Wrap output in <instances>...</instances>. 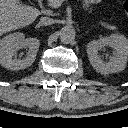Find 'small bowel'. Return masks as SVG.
Wrapping results in <instances>:
<instances>
[{"label": "small bowel", "instance_id": "1", "mask_svg": "<svg viewBox=\"0 0 128 128\" xmlns=\"http://www.w3.org/2000/svg\"><path fill=\"white\" fill-rule=\"evenodd\" d=\"M89 1L92 2V3H99V2H101L103 0H89Z\"/></svg>", "mask_w": 128, "mask_h": 128}]
</instances>
